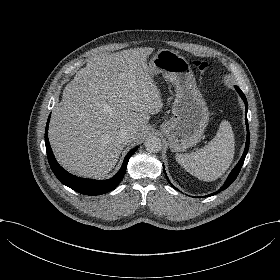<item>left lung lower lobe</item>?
I'll return each instance as SVG.
<instances>
[{
  "label": "left lung lower lobe",
  "instance_id": "obj_1",
  "mask_svg": "<svg viewBox=\"0 0 280 280\" xmlns=\"http://www.w3.org/2000/svg\"><path fill=\"white\" fill-rule=\"evenodd\" d=\"M235 89L237 90V92L239 93V95L241 96V98L243 99L244 103H245V106H246V111H245V114L247 115V110H248V103H247V99L245 97V95L243 94V92L239 89V87L235 86ZM245 122H246V127H247V139H246V145H245V150H244V153L240 159V161L238 162V164L235 166V168L232 170V172L230 173V175L228 176L225 184L223 185V187H221L219 189V191L215 192V193H212L210 195H207L205 197H208V196H212L214 194H217L219 193L220 191L226 189L228 186H230L233 181L236 179V177L238 176L239 174V171L243 165V162L245 160V157H246V154L248 152V149H249V127H248V121H247V117L245 118ZM172 185V184H171ZM172 187H174L172 185ZM175 188V187H174ZM176 189V188H175Z\"/></svg>",
  "mask_w": 280,
  "mask_h": 280
}]
</instances>
